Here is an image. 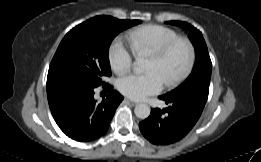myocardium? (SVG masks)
I'll list each match as a JSON object with an SVG mask.
<instances>
[{
  "label": "myocardium",
  "mask_w": 261,
  "mask_h": 162,
  "mask_svg": "<svg viewBox=\"0 0 261 162\" xmlns=\"http://www.w3.org/2000/svg\"><path fill=\"white\" fill-rule=\"evenodd\" d=\"M179 46H184L186 48L188 54L187 62L183 70L178 75L174 76L172 79L165 83L166 87L168 88H172L179 85L191 73L196 60V52L194 45L187 38H178L150 53L151 56L159 60H164Z\"/></svg>",
  "instance_id": "obj_1"
}]
</instances>
